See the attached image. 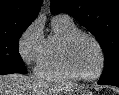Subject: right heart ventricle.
<instances>
[{"mask_svg": "<svg viewBox=\"0 0 119 95\" xmlns=\"http://www.w3.org/2000/svg\"><path fill=\"white\" fill-rule=\"evenodd\" d=\"M78 30L71 19L59 16L53 18L52 32L45 39L36 67L39 75L56 79L73 78L63 65L62 49L67 37Z\"/></svg>", "mask_w": 119, "mask_h": 95, "instance_id": "right-heart-ventricle-1", "label": "right heart ventricle"}]
</instances>
